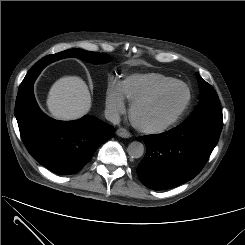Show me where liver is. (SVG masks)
Instances as JSON below:
<instances>
[{
	"label": "liver",
	"mask_w": 245,
	"mask_h": 245,
	"mask_svg": "<svg viewBox=\"0 0 245 245\" xmlns=\"http://www.w3.org/2000/svg\"><path fill=\"white\" fill-rule=\"evenodd\" d=\"M47 107L58 120H76L87 114L91 95L86 83L77 76H64L50 88Z\"/></svg>",
	"instance_id": "1"
}]
</instances>
